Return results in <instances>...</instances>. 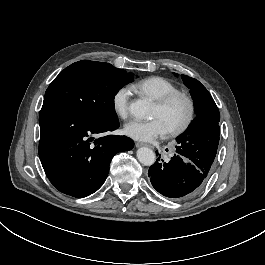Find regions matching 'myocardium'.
Returning a JSON list of instances; mask_svg holds the SVG:
<instances>
[{
  "label": "myocardium",
  "instance_id": "f54148a6",
  "mask_svg": "<svg viewBox=\"0 0 265 265\" xmlns=\"http://www.w3.org/2000/svg\"><path fill=\"white\" fill-rule=\"evenodd\" d=\"M176 100H182L185 102L187 106V116L180 126L167 130V133L170 136H179L185 133L192 125L196 115V104L194 99L189 94L182 91H175L162 97L156 101L155 106L159 111H164L171 103Z\"/></svg>",
  "mask_w": 265,
  "mask_h": 265
}]
</instances>
